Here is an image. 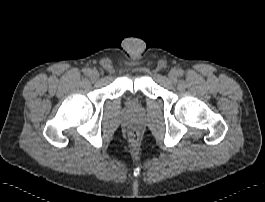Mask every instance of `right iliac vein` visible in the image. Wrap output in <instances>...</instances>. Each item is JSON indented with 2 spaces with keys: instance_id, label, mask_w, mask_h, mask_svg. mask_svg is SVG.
Wrapping results in <instances>:
<instances>
[{
  "instance_id": "1",
  "label": "right iliac vein",
  "mask_w": 265,
  "mask_h": 202,
  "mask_svg": "<svg viewBox=\"0 0 265 202\" xmlns=\"http://www.w3.org/2000/svg\"><path fill=\"white\" fill-rule=\"evenodd\" d=\"M89 77L93 80H96L99 78V73L97 70L90 71Z\"/></svg>"
}]
</instances>
